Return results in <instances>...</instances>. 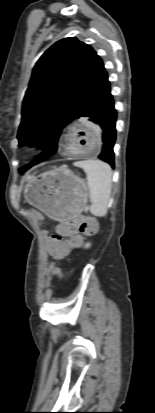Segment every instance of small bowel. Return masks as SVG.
Here are the masks:
<instances>
[{
    "label": "small bowel",
    "mask_w": 155,
    "mask_h": 413,
    "mask_svg": "<svg viewBox=\"0 0 155 413\" xmlns=\"http://www.w3.org/2000/svg\"><path fill=\"white\" fill-rule=\"evenodd\" d=\"M27 212L28 213H33L34 212V207L33 206H28L27 207ZM36 221L37 222H43L44 221V216L43 215H37L36 216ZM59 231L63 234H66V235H73L74 234V232L70 231L69 229H67L63 225H61L59 227Z\"/></svg>",
    "instance_id": "1"
}]
</instances>
